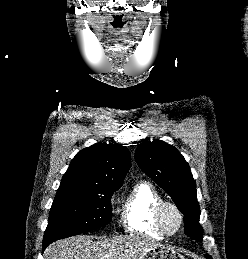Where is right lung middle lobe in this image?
Masks as SVG:
<instances>
[{
  "instance_id": "right-lung-middle-lobe-1",
  "label": "right lung middle lobe",
  "mask_w": 248,
  "mask_h": 259,
  "mask_svg": "<svg viewBox=\"0 0 248 259\" xmlns=\"http://www.w3.org/2000/svg\"><path fill=\"white\" fill-rule=\"evenodd\" d=\"M118 189L59 187L43 240L53 242L109 224L112 220L111 196Z\"/></svg>"
}]
</instances>
